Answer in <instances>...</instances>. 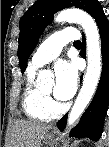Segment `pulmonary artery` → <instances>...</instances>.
Listing matches in <instances>:
<instances>
[{
    "mask_svg": "<svg viewBox=\"0 0 109 147\" xmlns=\"http://www.w3.org/2000/svg\"><path fill=\"white\" fill-rule=\"evenodd\" d=\"M78 32L61 31L49 36L34 53L30 65L39 68L54 60L61 53L62 47L69 42L78 43Z\"/></svg>",
    "mask_w": 109,
    "mask_h": 147,
    "instance_id": "obj_1",
    "label": "pulmonary artery"
}]
</instances>
